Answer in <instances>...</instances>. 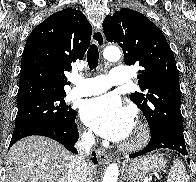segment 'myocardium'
<instances>
[{"instance_id":"f54148a6","label":"myocardium","mask_w":196,"mask_h":182,"mask_svg":"<svg viewBox=\"0 0 196 182\" xmlns=\"http://www.w3.org/2000/svg\"><path fill=\"white\" fill-rule=\"evenodd\" d=\"M150 133L147 126L142 122H137L132 137L122 144V148L125 150H137L143 147L148 139Z\"/></svg>"}]
</instances>
